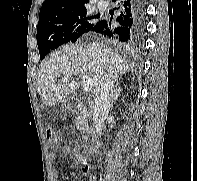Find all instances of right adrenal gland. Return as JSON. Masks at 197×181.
I'll return each instance as SVG.
<instances>
[{"instance_id": "right-adrenal-gland-1", "label": "right adrenal gland", "mask_w": 197, "mask_h": 181, "mask_svg": "<svg viewBox=\"0 0 197 181\" xmlns=\"http://www.w3.org/2000/svg\"><path fill=\"white\" fill-rule=\"evenodd\" d=\"M121 91V87L119 86V82H118V78L116 79V87L114 90V96H113V100L111 102V105H113V103L117 100L119 93Z\"/></svg>"}]
</instances>
